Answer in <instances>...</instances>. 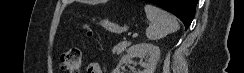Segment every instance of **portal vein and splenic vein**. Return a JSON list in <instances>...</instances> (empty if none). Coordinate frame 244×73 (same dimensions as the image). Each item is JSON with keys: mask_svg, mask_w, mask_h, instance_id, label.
I'll return each mask as SVG.
<instances>
[{"mask_svg": "<svg viewBox=\"0 0 244 73\" xmlns=\"http://www.w3.org/2000/svg\"><path fill=\"white\" fill-rule=\"evenodd\" d=\"M136 36H137V34L133 35V37H136Z\"/></svg>", "mask_w": 244, "mask_h": 73, "instance_id": "1", "label": "portal vein and splenic vein"}]
</instances>
